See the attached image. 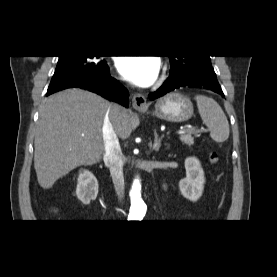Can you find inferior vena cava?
<instances>
[{"instance_id": "602c4592", "label": "inferior vena cava", "mask_w": 277, "mask_h": 277, "mask_svg": "<svg viewBox=\"0 0 277 277\" xmlns=\"http://www.w3.org/2000/svg\"><path fill=\"white\" fill-rule=\"evenodd\" d=\"M111 110L120 111V106L110 108L103 122V143L104 155L103 160L110 169V174L113 180L115 192L118 200L121 202L124 199L125 187L123 177V154L120 144L112 124Z\"/></svg>"}]
</instances>
